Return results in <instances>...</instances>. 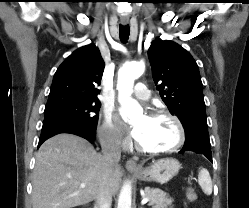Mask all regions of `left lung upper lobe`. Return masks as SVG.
I'll use <instances>...</instances> for the list:
<instances>
[{"label": "left lung upper lobe", "mask_w": 249, "mask_h": 208, "mask_svg": "<svg viewBox=\"0 0 249 208\" xmlns=\"http://www.w3.org/2000/svg\"><path fill=\"white\" fill-rule=\"evenodd\" d=\"M148 58L160 96L181 121L185 136L196 130L208 132L203 84L193 57L177 43L157 38Z\"/></svg>", "instance_id": "5c2ea615"}]
</instances>
